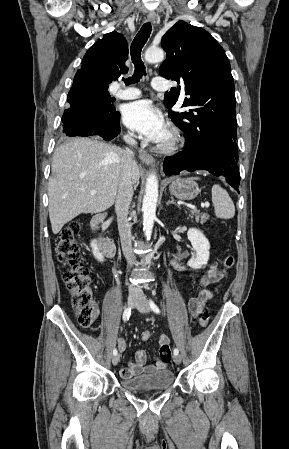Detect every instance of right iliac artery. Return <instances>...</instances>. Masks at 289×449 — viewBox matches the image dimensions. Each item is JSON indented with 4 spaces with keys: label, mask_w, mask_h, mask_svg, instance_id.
I'll return each instance as SVG.
<instances>
[{
    "label": "right iliac artery",
    "mask_w": 289,
    "mask_h": 449,
    "mask_svg": "<svg viewBox=\"0 0 289 449\" xmlns=\"http://www.w3.org/2000/svg\"><path fill=\"white\" fill-rule=\"evenodd\" d=\"M130 314H131V307H128V308H126V309L124 310V313H123V320H124L125 322L129 319ZM117 354H118L117 349H114V350H113V355L116 356Z\"/></svg>",
    "instance_id": "right-iliac-artery-1"
}]
</instances>
